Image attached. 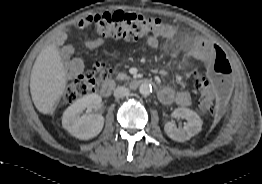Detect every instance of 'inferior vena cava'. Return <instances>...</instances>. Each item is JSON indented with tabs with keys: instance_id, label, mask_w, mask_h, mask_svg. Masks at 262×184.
Here are the masks:
<instances>
[{
	"instance_id": "602c4592",
	"label": "inferior vena cava",
	"mask_w": 262,
	"mask_h": 184,
	"mask_svg": "<svg viewBox=\"0 0 262 184\" xmlns=\"http://www.w3.org/2000/svg\"><path fill=\"white\" fill-rule=\"evenodd\" d=\"M130 93L129 89L124 87V86H118L115 90H114V97L115 98H123L125 96H128Z\"/></svg>"
}]
</instances>
